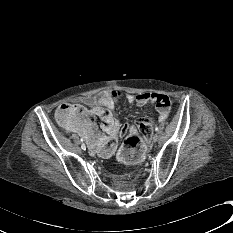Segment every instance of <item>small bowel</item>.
Here are the masks:
<instances>
[{
    "instance_id": "c3829d8e",
    "label": "small bowel",
    "mask_w": 233,
    "mask_h": 233,
    "mask_svg": "<svg viewBox=\"0 0 233 233\" xmlns=\"http://www.w3.org/2000/svg\"><path fill=\"white\" fill-rule=\"evenodd\" d=\"M162 99H168V97L147 92L136 95L123 94L116 90L103 91L94 96L81 97L73 102L74 105L80 107V111L75 115L71 124L64 126L68 132L79 134L87 142L91 153L102 158H108L117 149L119 135L122 132L134 131V128L129 126L120 128L115 118L109 112L102 120L104 134H100L93 120L94 111L104 107L112 109L119 101L138 107H145L152 102L154 103V101H158L160 103L156 107L159 119L164 120L168 116L170 101H168V104H162ZM84 106L87 108H84ZM148 124L150 128L153 125L151 120H148ZM149 154V150L145 146H130L127 149L118 151L115 158L120 165L133 166L147 160Z\"/></svg>"
}]
</instances>
